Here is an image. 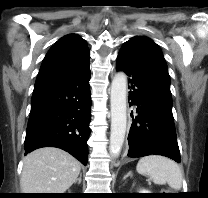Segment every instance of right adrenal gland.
<instances>
[{
  "label": "right adrenal gland",
  "instance_id": "1",
  "mask_svg": "<svg viewBox=\"0 0 208 198\" xmlns=\"http://www.w3.org/2000/svg\"><path fill=\"white\" fill-rule=\"evenodd\" d=\"M81 179H82V174L80 173V176H79V178L75 181V183L78 182V184H80V183H81Z\"/></svg>",
  "mask_w": 208,
  "mask_h": 198
}]
</instances>
